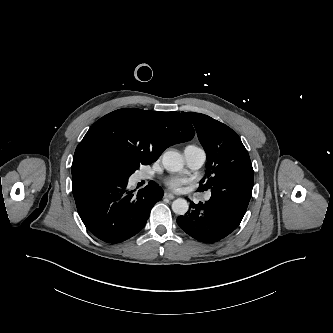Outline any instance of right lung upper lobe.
<instances>
[{"instance_id":"cb5924a9","label":"right lung upper lobe","mask_w":333,"mask_h":333,"mask_svg":"<svg viewBox=\"0 0 333 333\" xmlns=\"http://www.w3.org/2000/svg\"><path fill=\"white\" fill-rule=\"evenodd\" d=\"M194 135L191 123L179 112L113 111L96 121L77 146L72 176L90 170L94 159L110 161L120 169H138L154 162L169 146Z\"/></svg>"}]
</instances>
